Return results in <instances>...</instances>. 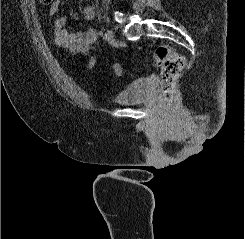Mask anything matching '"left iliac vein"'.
Wrapping results in <instances>:
<instances>
[{
  "instance_id": "4c4485c4",
  "label": "left iliac vein",
  "mask_w": 245,
  "mask_h": 239,
  "mask_svg": "<svg viewBox=\"0 0 245 239\" xmlns=\"http://www.w3.org/2000/svg\"><path fill=\"white\" fill-rule=\"evenodd\" d=\"M105 38L108 42L114 41V32L112 29H108L105 33Z\"/></svg>"
}]
</instances>
